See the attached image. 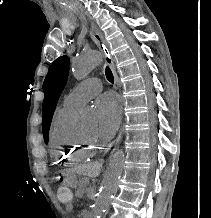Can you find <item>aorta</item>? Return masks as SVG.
Masks as SVG:
<instances>
[{
    "instance_id": "762f6f07",
    "label": "aorta",
    "mask_w": 211,
    "mask_h": 218,
    "mask_svg": "<svg viewBox=\"0 0 211 218\" xmlns=\"http://www.w3.org/2000/svg\"><path fill=\"white\" fill-rule=\"evenodd\" d=\"M102 55L100 52L91 50L84 52L74 58L72 62V72L75 78L84 79L88 74L100 64ZM78 125L83 130H92L97 125V116L90 110L86 109L81 112L78 120ZM124 166V152L118 150L110 159L109 166L102 180L101 189L95 199L92 208L93 218H100L107 210L111 199L117 192L120 178Z\"/></svg>"
}]
</instances>
